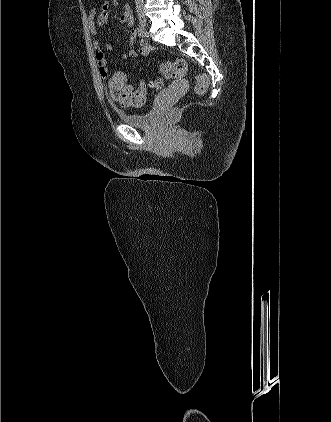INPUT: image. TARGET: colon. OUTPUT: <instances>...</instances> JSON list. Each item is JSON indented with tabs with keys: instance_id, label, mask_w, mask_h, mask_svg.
Returning a JSON list of instances; mask_svg holds the SVG:
<instances>
[{
	"instance_id": "5ec220e1",
	"label": "colon",
	"mask_w": 331,
	"mask_h": 422,
	"mask_svg": "<svg viewBox=\"0 0 331 422\" xmlns=\"http://www.w3.org/2000/svg\"><path fill=\"white\" fill-rule=\"evenodd\" d=\"M188 71V64L184 60L165 62L161 66V73L167 78L183 77ZM209 79L206 75H198L195 79L194 91L196 94H204L208 88ZM109 92L112 98L118 102H126L132 106L140 107L146 100V92L143 87L134 89L130 86L126 77L121 72H115L109 80ZM179 108L171 109L167 115L175 116Z\"/></svg>"
}]
</instances>
